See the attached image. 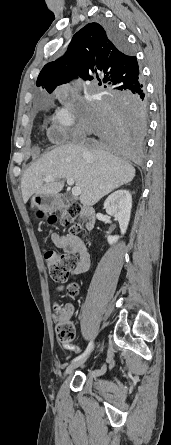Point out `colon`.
<instances>
[{"mask_svg":"<svg viewBox=\"0 0 171 445\" xmlns=\"http://www.w3.org/2000/svg\"><path fill=\"white\" fill-rule=\"evenodd\" d=\"M81 219H83L81 206L77 203H70L61 215L60 224L69 228L73 233H79L81 225L78 221ZM43 220L51 226L58 222V218L54 215L47 216ZM45 262L51 279L64 281L67 279L70 270L76 265V258L70 254L63 255L54 250H47ZM75 292L76 286L71 285L68 289L69 295H73ZM54 314L56 315L55 333L57 340L62 344L72 343L75 338V328L70 321V307L63 303H56L54 305Z\"/></svg>","mask_w":171,"mask_h":445,"instance_id":"5ec220e1","label":"colon"}]
</instances>
